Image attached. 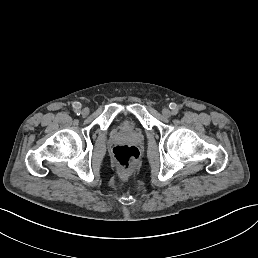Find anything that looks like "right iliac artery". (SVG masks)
<instances>
[{
  "label": "right iliac artery",
  "instance_id": "1",
  "mask_svg": "<svg viewBox=\"0 0 258 258\" xmlns=\"http://www.w3.org/2000/svg\"><path fill=\"white\" fill-rule=\"evenodd\" d=\"M75 114L79 116L81 114V111L80 110H75Z\"/></svg>",
  "mask_w": 258,
  "mask_h": 258
}]
</instances>
